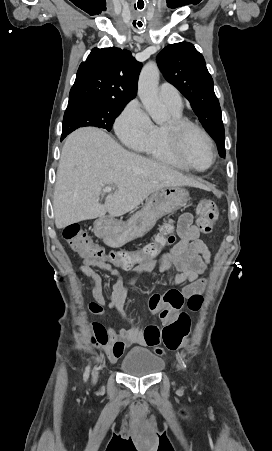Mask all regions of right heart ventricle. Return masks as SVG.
<instances>
[{
  "label": "right heart ventricle",
  "instance_id": "e07e8e85",
  "mask_svg": "<svg viewBox=\"0 0 272 451\" xmlns=\"http://www.w3.org/2000/svg\"><path fill=\"white\" fill-rule=\"evenodd\" d=\"M161 102H163L174 117L180 118V112L174 110L169 104L164 102L160 98ZM165 125H155L153 126L149 137L141 144L134 145V147L144 152L145 154L158 159L160 161L175 163L174 150L172 144L164 140V129Z\"/></svg>",
  "mask_w": 272,
  "mask_h": 451
}]
</instances>
